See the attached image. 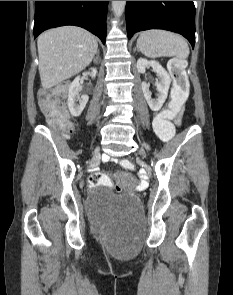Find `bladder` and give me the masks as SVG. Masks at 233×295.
<instances>
[{
	"mask_svg": "<svg viewBox=\"0 0 233 295\" xmlns=\"http://www.w3.org/2000/svg\"><path fill=\"white\" fill-rule=\"evenodd\" d=\"M86 207L92 217L100 219L118 216L122 213H141V205L137 197L132 195H114L92 191L86 201Z\"/></svg>",
	"mask_w": 233,
	"mask_h": 295,
	"instance_id": "obj_1",
	"label": "bladder"
}]
</instances>
